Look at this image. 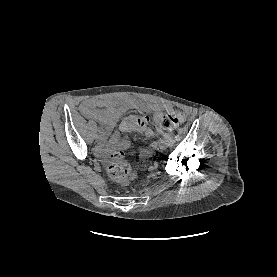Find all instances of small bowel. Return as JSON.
I'll list each match as a JSON object with an SVG mask.
<instances>
[{
    "instance_id": "small-bowel-1",
    "label": "small bowel",
    "mask_w": 277,
    "mask_h": 277,
    "mask_svg": "<svg viewBox=\"0 0 277 277\" xmlns=\"http://www.w3.org/2000/svg\"><path fill=\"white\" fill-rule=\"evenodd\" d=\"M141 105L132 100H113L110 98H88L80 105L81 113L91 119L102 124L99 130V145L102 147L105 143L106 137L113 130L119 116L128 108H137ZM150 110L154 115V119L158 122L163 114L167 111V107L161 104L149 105ZM148 136H155V131L150 130ZM114 140L119 138V134L115 133Z\"/></svg>"
}]
</instances>
